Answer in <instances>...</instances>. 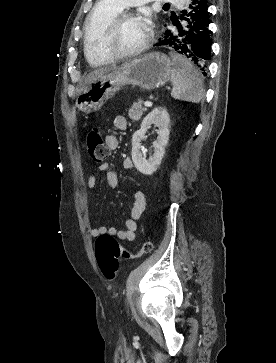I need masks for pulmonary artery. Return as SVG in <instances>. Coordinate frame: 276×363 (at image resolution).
Instances as JSON below:
<instances>
[{"label": "pulmonary artery", "instance_id": "pulmonary-artery-1", "mask_svg": "<svg viewBox=\"0 0 276 363\" xmlns=\"http://www.w3.org/2000/svg\"><path fill=\"white\" fill-rule=\"evenodd\" d=\"M110 1L114 2L120 9H123L129 6L141 5L152 0H110ZM157 1L169 2L174 0H157ZM177 1L183 2L184 0H177Z\"/></svg>", "mask_w": 276, "mask_h": 363}]
</instances>
